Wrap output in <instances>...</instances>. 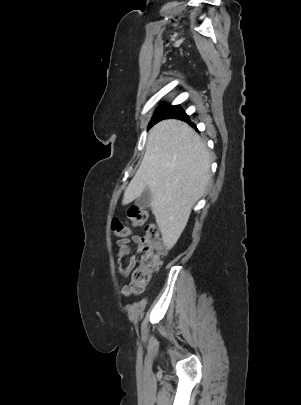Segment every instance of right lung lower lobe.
Instances as JSON below:
<instances>
[{
    "mask_svg": "<svg viewBox=\"0 0 301 405\" xmlns=\"http://www.w3.org/2000/svg\"><path fill=\"white\" fill-rule=\"evenodd\" d=\"M171 118H178V119H182V120H185L187 122H190L189 117L185 113L182 114V115L171 117Z\"/></svg>",
    "mask_w": 301,
    "mask_h": 405,
    "instance_id": "1",
    "label": "right lung lower lobe"
}]
</instances>
